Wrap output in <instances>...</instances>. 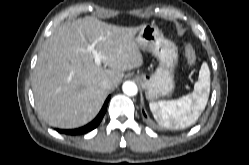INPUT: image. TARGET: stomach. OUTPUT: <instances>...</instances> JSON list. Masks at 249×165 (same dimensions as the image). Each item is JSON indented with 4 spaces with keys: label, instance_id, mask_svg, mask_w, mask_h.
<instances>
[{
    "label": "stomach",
    "instance_id": "obj_1",
    "mask_svg": "<svg viewBox=\"0 0 249 165\" xmlns=\"http://www.w3.org/2000/svg\"><path fill=\"white\" fill-rule=\"evenodd\" d=\"M135 42L140 49L151 52L159 61V66L151 76H136L145 89L146 98L154 101L171 95L175 89L174 72L179 57L177 46L153 24L142 25Z\"/></svg>",
    "mask_w": 249,
    "mask_h": 165
}]
</instances>
